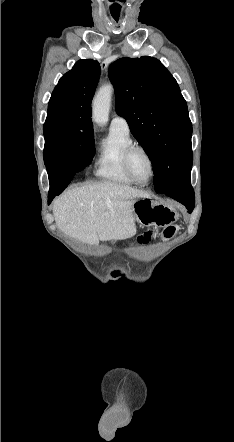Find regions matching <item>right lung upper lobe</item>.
<instances>
[{
    "label": "right lung upper lobe",
    "instance_id": "right-lung-upper-lobe-1",
    "mask_svg": "<svg viewBox=\"0 0 234 442\" xmlns=\"http://www.w3.org/2000/svg\"><path fill=\"white\" fill-rule=\"evenodd\" d=\"M100 76V64L92 59L76 62L61 77L48 104L47 119L68 118L93 129L91 101Z\"/></svg>",
    "mask_w": 234,
    "mask_h": 442
}]
</instances>
